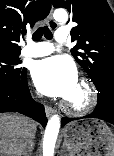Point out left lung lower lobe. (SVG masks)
<instances>
[{"instance_id":"left-lung-lower-lobe-1","label":"left lung lower lobe","mask_w":114,"mask_h":156,"mask_svg":"<svg viewBox=\"0 0 114 156\" xmlns=\"http://www.w3.org/2000/svg\"><path fill=\"white\" fill-rule=\"evenodd\" d=\"M98 102L95 110L83 118H97L114 124V86H107L98 91ZM78 118H62L61 124L64 126L71 120Z\"/></svg>"}]
</instances>
